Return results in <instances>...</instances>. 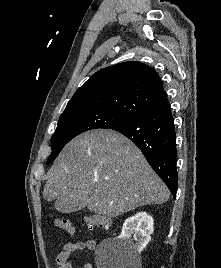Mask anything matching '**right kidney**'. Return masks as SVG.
Listing matches in <instances>:
<instances>
[{
	"instance_id": "1",
	"label": "right kidney",
	"mask_w": 221,
	"mask_h": 268,
	"mask_svg": "<svg viewBox=\"0 0 221 268\" xmlns=\"http://www.w3.org/2000/svg\"><path fill=\"white\" fill-rule=\"evenodd\" d=\"M153 225L152 216L146 212H139L125 220L118 238L127 244L132 253L139 254L151 239L150 235L154 231Z\"/></svg>"
}]
</instances>
